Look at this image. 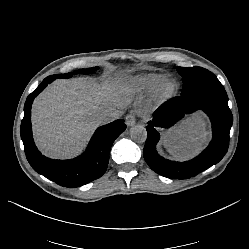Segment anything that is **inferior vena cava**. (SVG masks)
I'll return each instance as SVG.
<instances>
[{
	"instance_id": "1",
	"label": "inferior vena cava",
	"mask_w": 249,
	"mask_h": 249,
	"mask_svg": "<svg viewBox=\"0 0 249 249\" xmlns=\"http://www.w3.org/2000/svg\"><path fill=\"white\" fill-rule=\"evenodd\" d=\"M97 117L99 119V125H103L117 119L119 117V114L117 112L113 113L103 112V113H98Z\"/></svg>"
}]
</instances>
